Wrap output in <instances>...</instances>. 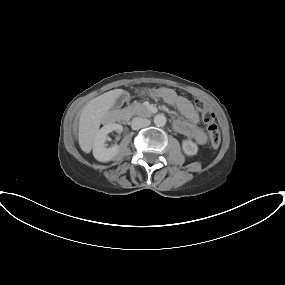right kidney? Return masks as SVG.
Instances as JSON below:
<instances>
[{"mask_svg":"<svg viewBox=\"0 0 285 285\" xmlns=\"http://www.w3.org/2000/svg\"><path fill=\"white\" fill-rule=\"evenodd\" d=\"M116 131L121 133L123 127L120 124L110 123L104 125L96 134L93 141V156L97 161L108 162L113 160L119 153V146L114 145L110 148H106L105 141L108 133Z\"/></svg>","mask_w":285,"mask_h":285,"instance_id":"right-kidney-1","label":"right kidney"}]
</instances>
